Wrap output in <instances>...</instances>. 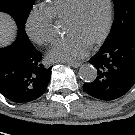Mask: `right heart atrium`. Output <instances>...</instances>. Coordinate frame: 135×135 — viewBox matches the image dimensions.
<instances>
[{
  "label": "right heart atrium",
  "instance_id": "1",
  "mask_svg": "<svg viewBox=\"0 0 135 135\" xmlns=\"http://www.w3.org/2000/svg\"><path fill=\"white\" fill-rule=\"evenodd\" d=\"M25 29L29 38L38 45L46 46L54 41L53 21L45 11L30 13Z\"/></svg>",
  "mask_w": 135,
  "mask_h": 135
}]
</instances>
